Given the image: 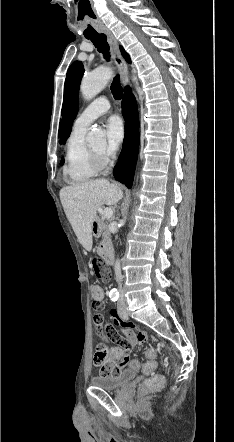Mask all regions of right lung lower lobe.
I'll return each instance as SVG.
<instances>
[{"label": "right lung lower lobe", "instance_id": "1", "mask_svg": "<svg viewBox=\"0 0 234 442\" xmlns=\"http://www.w3.org/2000/svg\"><path fill=\"white\" fill-rule=\"evenodd\" d=\"M123 115L126 120L125 137L119 161L113 170L117 181L132 187L139 147V120L137 104L130 87H126L122 100Z\"/></svg>", "mask_w": 234, "mask_h": 442}]
</instances>
